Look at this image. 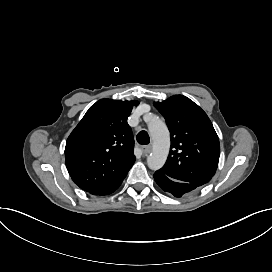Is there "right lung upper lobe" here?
Masks as SVG:
<instances>
[{
  "label": "right lung upper lobe",
  "instance_id": "1",
  "mask_svg": "<svg viewBox=\"0 0 272 272\" xmlns=\"http://www.w3.org/2000/svg\"><path fill=\"white\" fill-rule=\"evenodd\" d=\"M138 101L101 99L86 112L65 147L68 172L86 192L108 188L122 179L135 161L127 118Z\"/></svg>",
  "mask_w": 272,
  "mask_h": 272
}]
</instances>
